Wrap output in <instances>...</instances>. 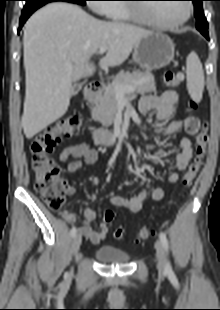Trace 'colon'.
<instances>
[{
  "instance_id": "5ec220e1",
  "label": "colon",
  "mask_w": 220,
  "mask_h": 310,
  "mask_svg": "<svg viewBox=\"0 0 220 310\" xmlns=\"http://www.w3.org/2000/svg\"><path fill=\"white\" fill-rule=\"evenodd\" d=\"M164 81L169 87H179L183 81V75L167 71L164 74ZM196 107L194 101L188 103L189 110H194ZM82 122V113L73 111L55 125L38 133L31 143V163L35 175L34 188L51 210L58 211L64 206L68 194V185L61 178V170L50 154L63 138L77 133ZM208 132L209 123L205 121L195 136L194 157L182 177L184 187L191 185L201 169L209 140ZM114 216L113 211L107 210L104 213V221L110 223L113 221ZM152 234L151 229L143 227L137 233V240L148 239ZM114 237L122 239L124 237L123 229H116Z\"/></svg>"
}]
</instances>
